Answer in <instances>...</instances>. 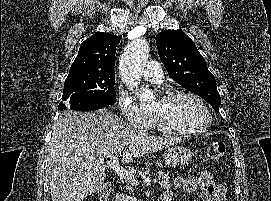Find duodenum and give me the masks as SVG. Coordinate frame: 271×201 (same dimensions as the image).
Returning a JSON list of instances; mask_svg holds the SVG:
<instances>
[{
    "label": "duodenum",
    "mask_w": 271,
    "mask_h": 201,
    "mask_svg": "<svg viewBox=\"0 0 271 201\" xmlns=\"http://www.w3.org/2000/svg\"><path fill=\"white\" fill-rule=\"evenodd\" d=\"M113 189V183L107 182L105 183L101 189L99 190L98 194V201H110V195ZM171 195L165 193L162 195L160 201H171Z\"/></svg>",
    "instance_id": "410a0bca"
}]
</instances>
